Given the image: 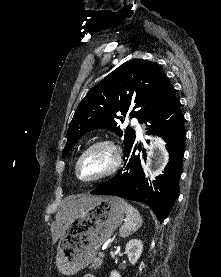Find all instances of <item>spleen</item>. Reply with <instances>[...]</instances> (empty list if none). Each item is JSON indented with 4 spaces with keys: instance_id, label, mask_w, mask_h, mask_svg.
Listing matches in <instances>:
<instances>
[{
    "instance_id": "spleen-1",
    "label": "spleen",
    "mask_w": 221,
    "mask_h": 277,
    "mask_svg": "<svg viewBox=\"0 0 221 277\" xmlns=\"http://www.w3.org/2000/svg\"><path fill=\"white\" fill-rule=\"evenodd\" d=\"M121 202L125 208L126 221L120 228V236L127 237L141 227L143 220L136 208L125 201Z\"/></svg>"
}]
</instances>
